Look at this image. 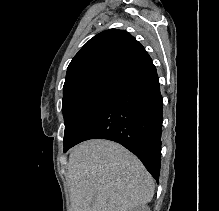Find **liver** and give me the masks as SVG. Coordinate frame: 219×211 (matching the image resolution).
<instances>
[{
    "label": "liver",
    "mask_w": 219,
    "mask_h": 211,
    "mask_svg": "<svg viewBox=\"0 0 219 211\" xmlns=\"http://www.w3.org/2000/svg\"><path fill=\"white\" fill-rule=\"evenodd\" d=\"M66 177L72 211H133L154 195V179L142 161L109 139L75 145Z\"/></svg>",
    "instance_id": "obj_1"
}]
</instances>
